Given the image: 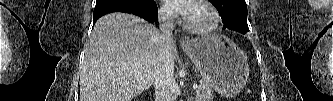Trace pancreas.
I'll list each match as a JSON object with an SVG mask.
<instances>
[{"mask_svg":"<svg viewBox=\"0 0 333 101\" xmlns=\"http://www.w3.org/2000/svg\"><path fill=\"white\" fill-rule=\"evenodd\" d=\"M195 96L197 101H211L214 97L211 87L205 81L199 84Z\"/></svg>","mask_w":333,"mask_h":101,"instance_id":"cf45deb5","label":"pancreas"}]
</instances>
